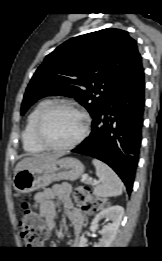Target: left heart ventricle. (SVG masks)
<instances>
[{
	"instance_id": "1",
	"label": "left heart ventricle",
	"mask_w": 162,
	"mask_h": 261,
	"mask_svg": "<svg viewBox=\"0 0 162 261\" xmlns=\"http://www.w3.org/2000/svg\"><path fill=\"white\" fill-rule=\"evenodd\" d=\"M82 124V118L76 112L58 109L48 116L44 124V134L50 143L64 145L78 137Z\"/></svg>"
}]
</instances>
